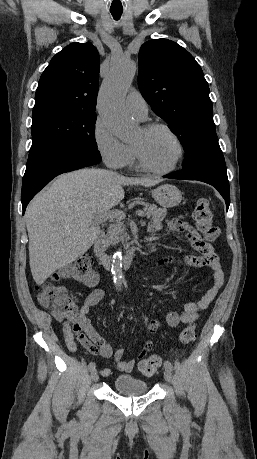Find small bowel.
Instances as JSON below:
<instances>
[{
    "mask_svg": "<svg viewBox=\"0 0 257 459\" xmlns=\"http://www.w3.org/2000/svg\"><path fill=\"white\" fill-rule=\"evenodd\" d=\"M159 221H152L148 226L150 233H156L161 229ZM168 228L173 232L185 234L191 242L192 247L198 252L197 255H188L183 258V262L188 267L202 268L208 267L212 272V285L206 294L197 302H186L183 305L181 312L170 310L166 315V322L169 327H176L180 324L193 323L199 314L205 311L213 299L216 297L220 289L224 285L225 277L221 268L218 255L214 252L212 246L201 240L195 228L185 222L177 219H172L168 222ZM173 262V258L167 257L159 261L160 264ZM104 298V291L100 288H95L85 299L84 303L79 308V311L72 324L68 321L63 323V332L66 346L69 351L77 352V340L83 347L92 354H99L104 358H109L112 355L115 360V368L121 372L130 373L134 370L135 360H123L124 350L118 348L114 352V345L105 340L92 326L87 314L90 309L101 302ZM161 326L159 320H152L148 324V332L155 333ZM152 347V340L148 339L142 349L139 358L145 357ZM110 368H103L101 374L104 377L109 376Z\"/></svg>",
    "mask_w": 257,
    "mask_h": 459,
    "instance_id": "c3829d8e",
    "label": "small bowel"
}]
</instances>
